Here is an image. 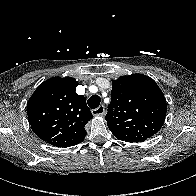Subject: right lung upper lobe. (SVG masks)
Here are the masks:
<instances>
[{
  "mask_svg": "<svg viewBox=\"0 0 196 196\" xmlns=\"http://www.w3.org/2000/svg\"><path fill=\"white\" fill-rule=\"evenodd\" d=\"M76 86L74 78L53 77L41 83L27 103L32 130L50 145L74 146L86 136L85 125L93 115Z\"/></svg>",
  "mask_w": 196,
  "mask_h": 196,
  "instance_id": "1",
  "label": "right lung upper lobe"
}]
</instances>
